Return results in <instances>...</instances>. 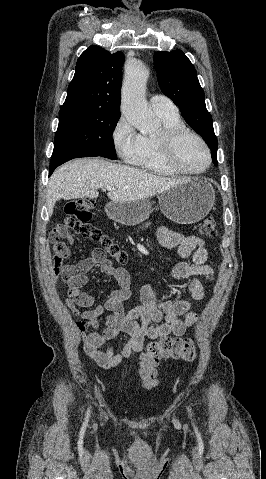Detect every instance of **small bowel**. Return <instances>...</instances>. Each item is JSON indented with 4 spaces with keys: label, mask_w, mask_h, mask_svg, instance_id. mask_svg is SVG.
I'll use <instances>...</instances> for the list:
<instances>
[{
    "label": "small bowel",
    "mask_w": 266,
    "mask_h": 479,
    "mask_svg": "<svg viewBox=\"0 0 266 479\" xmlns=\"http://www.w3.org/2000/svg\"><path fill=\"white\" fill-rule=\"evenodd\" d=\"M62 237L70 244L76 241L69 232ZM157 237L162 246L177 247L179 256L190 260L177 263L172 270L174 279L189 280L186 290L190 299L159 300L152 286L145 284L140 290L141 305L126 313L123 302L130 297L131 291L128 273L123 268L114 267L100 250H95L77 265H64V258L55 257L57 274L69 288L66 305L78 317L76 325L81 333L83 350L89 359L102 368L117 367L123 359L142 351L146 339L182 336L188 327L198 321V314L192 307L203 299L204 287L199 279L192 277L213 279L214 271L206 264L208 248L201 238L184 235L167 227L159 228ZM95 265L100 267L103 274L113 278L118 287L93 306V298L82 288L88 283L87 273ZM81 307L87 309L80 311ZM104 312L108 314L104 326H101L99 317ZM121 332L127 334L129 340L120 352H116L111 344L103 349Z\"/></svg>",
    "instance_id": "c3829d8e"
}]
</instances>
